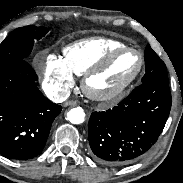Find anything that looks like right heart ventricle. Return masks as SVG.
<instances>
[{"label":"right heart ventricle","mask_w":183,"mask_h":183,"mask_svg":"<svg viewBox=\"0 0 183 183\" xmlns=\"http://www.w3.org/2000/svg\"><path fill=\"white\" fill-rule=\"evenodd\" d=\"M121 46L125 44L115 39L91 37L67 45L62 60L71 73L82 76L109 51Z\"/></svg>","instance_id":"obj_1"}]
</instances>
